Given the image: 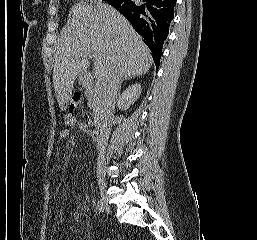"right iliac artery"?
Returning a JSON list of instances; mask_svg holds the SVG:
<instances>
[{"instance_id": "obj_1", "label": "right iliac artery", "mask_w": 257, "mask_h": 240, "mask_svg": "<svg viewBox=\"0 0 257 240\" xmlns=\"http://www.w3.org/2000/svg\"><path fill=\"white\" fill-rule=\"evenodd\" d=\"M96 210L99 213L103 212L104 208H103V204H102L101 200H98L97 205H96Z\"/></svg>"}]
</instances>
